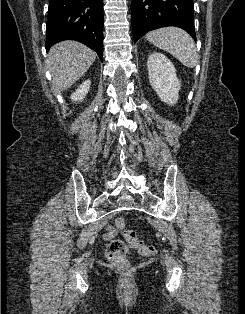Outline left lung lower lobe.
<instances>
[{
	"instance_id": "1",
	"label": "left lung lower lobe",
	"mask_w": 245,
	"mask_h": 314,
	"mask_svg": "<svg viewBox=\"0 0 245 314\" xmlns=\"http://www.w3.org/2000/svg\"><path fill=\"white\" fill-rule=\"evenodd\" d=\"M131 12L134 41L167 26L182 28L196 40L193 0H133Z\"/></svg>"
}]
</instances>
